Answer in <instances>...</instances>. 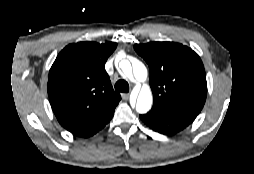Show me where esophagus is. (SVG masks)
<instances>
[{"mask_svg": "<svg viewBox=\"0 0 254 174\" xmlns=\"http://www.w3.org/2000/svg\"><path fill=\"white\" fill-rule=\"evenodd\" d=\"M121 96H122L123 100H128L129 99V93H123V94H121Z\"/></svg>", "mask_w": 254, "mask_h": 174, "instance_id": "esophagus-1", "label": "esophagus"}]
</instances>
